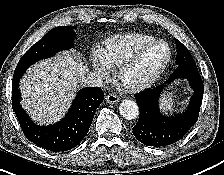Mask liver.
<instances>
[{
    "label": "liver",
    "instance_id": "liver-1",
    "mask_svg": "<svg viewBox=\"0 0 224 175\" xmlns=\"http://www.w3.org/2000/svg\"><path fill=\"white\" fill-rule=\"evenodd\" d=\"M87 72L74 52L34 64L19 84L23 109L40 125L56 123L70 107Z\"/></svg>",
    "mask_w": 224,
    "mask_h": 175
}]
</instances>
